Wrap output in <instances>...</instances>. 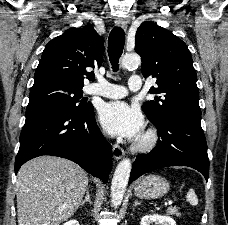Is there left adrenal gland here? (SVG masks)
<instances>
[{"instance_id": "left-adrenal-gland-1", "label": "left adrenal gland", "mask_w": 228, "mask_h": 225, "mask_svg": "<svg viewBox=\"0 0 228 225\" xmlns=\"http://www.w3.org/2000/svg\"><path fill=\"white\" fill-rule=\"evenodd\" d=\"M137 205H141V203H138V201H136L134 207H137Z\"/></svg>"}]
</instances>
